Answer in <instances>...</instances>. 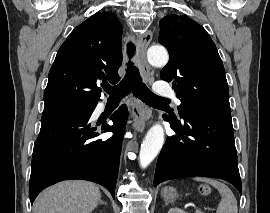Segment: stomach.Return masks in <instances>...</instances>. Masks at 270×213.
I'll return each mask as SVG.
<instances>
[{"instance_id": "0dacf381", "label": "stomach", "mask_w": 270, "mask_h": 213, "mask_svg": "<svg viewBox=\"0 0 270 213\" xmlns=\"http://www.w3.org/2000/svg\"><path fill=\"white\" fill-rule=\"evenodd\" d=\"M162 196L165 200L173 201L177 197L176 189L167 187L162 190Z\"/></svg>"}]
</instances>
